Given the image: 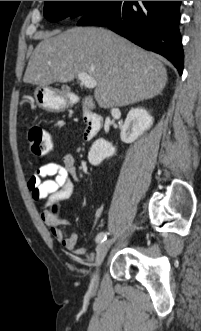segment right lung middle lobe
<instances>
[{
  "label": "right lung middle lobe",
  "mask_w": 201,
  "mask_h": 331,
  "mask_svg": "<svg viewBox=\"0 0 201 331\" xmlns=\"http://www.w3.org/2000/svg\"><path fill=\"white\" fill-rule=\"evenodd\" d=\"M102 1H45L44 16L54 22L66 17H82Z\"/></svg>",
  "instance_id": "right-lung-middle-lobe-1"
}]
</instances>
